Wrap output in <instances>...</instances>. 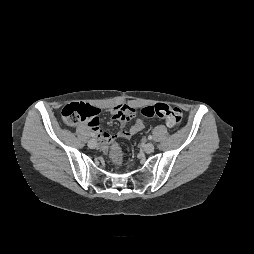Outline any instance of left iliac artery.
Listing matches in <instances>:
<instances>
[{
	"instance_id": "44dca946",
	"label": "left iliac artery",
	"mask_w": 254,
	"mask_h": 254,
	"mask_svg": "<svg viewBox=\"0 0 254 254\" xmlns=\"http://www.w3.org/2000/svg\"><path fill=\"white\" fill-rule=\"evenodd\" d=\"M148 139H149V140H151V139H152V136H151V135H149V136H148Z\"/></svg>"
}]
</instances>
